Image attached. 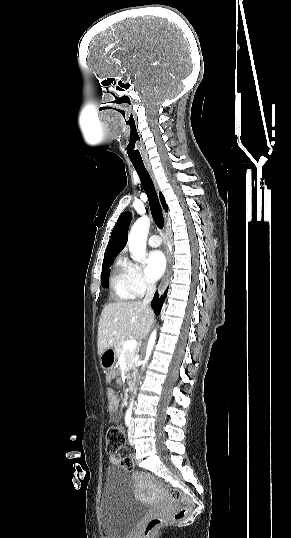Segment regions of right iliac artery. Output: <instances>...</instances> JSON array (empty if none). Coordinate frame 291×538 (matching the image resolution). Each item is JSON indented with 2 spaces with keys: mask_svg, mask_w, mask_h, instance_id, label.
Returning a JSON list of instances; mask_svg holds the SVG:
<instances>
[{
  "mask_svg": "<svg viewBox=\"0 0 291 538\" xmlns=\"http://www.w3.org/2000/svg\"><path fill=\"white\" fill-rule=\"evenodd\" d=\"M131 423V413H126L125 415V424L126 426H129Z\"/></svg>",
  "mask_w": 291,
  "mask_h": 538,
  "instance_id": "82829eb1",
  "label": "right iliac artery"
}]
</instances>
